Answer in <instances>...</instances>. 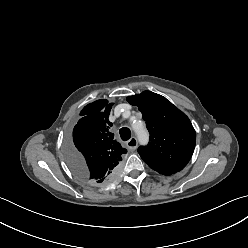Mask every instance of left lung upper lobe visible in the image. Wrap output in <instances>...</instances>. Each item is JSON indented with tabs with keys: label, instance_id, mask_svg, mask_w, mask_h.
<instances>
[{
	"label": "left lung upper lobe",
	"instance_id": "left-lung-upper-lobe-1",
	"mask_svg": "<svg viewBox=\"0 0 248 248\" xmlns=\"http://www.w3.org/2000/svg\"><path fill=\"white\" fill-rule=\"evenodd\" d=\"M127 101L141 111L150 133L148 145L138 148L141 158L164 175L182 170L196 143L189 118L165 97L151 91L129 96Z\"/></svg>",
	"mask_w": 248,
	"mask_h": 248
}]
</instances>
